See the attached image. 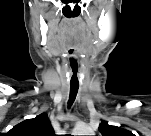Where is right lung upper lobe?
Instances as JSON below:
<instances>
[{
    "instance_id": "obj_1",
    "label": "right lung upper lobe",
    "mask_w": 151,
    "mask_h": 136,
    "mask_svg": "<svg viewBox=\"0 0 151 136\" xmlns=\"http://www.w3.org/2000/svg\"><path fill=\"white\" fill-rule=\"evenodd\" d=\"M10 132L15 136H54L53 127L46 113L17 124Z\"/></svg>"
}]
</instances>
